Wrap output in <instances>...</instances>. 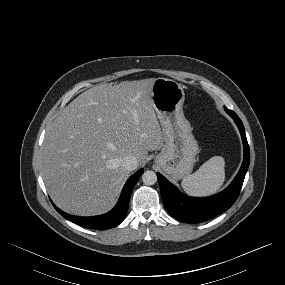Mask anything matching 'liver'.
I'll list each match as a JSON object with an SVG mask.
<instances>
[{
	"instance_id": "obj_1",
	"label": "liver",
	"mask_w": 285,
	"mask_h": 285,
	"mask_svg": "<svg viewBox=\"0 0 285 285\" xmlns=\"http://www.w3.org/2000/svg\"><path fill=\"white\" fill-rule=\"evenodd\" d=\"M156 79L99 84L69 103L48 128L41 153L42 176L58 207L79 216L106 212L130 171L164 135L151 99Z\"/></svg>"
}]
</instances>
